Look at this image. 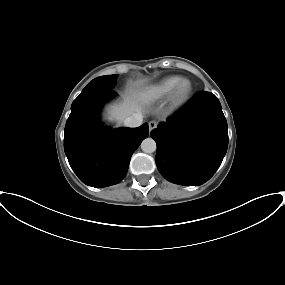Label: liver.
Masks as SVG:
<instances>
[{"label": "liver", "instance_id": "obj_1", "mask_svg": "<svg viewBox=\"0 0 285 285\" xmlns=\"http://www.w3.org/2000/svg\"><path fill=\"white\" fill-rule=\"evenodd\" d=\"M142 97L144 94L141 95ZM108 119L123 121L125 118L132 116L135 113H140L141 108L136 98H125L122 103L114 104L108 107Z\"/></svg>", "mask_w": 285, "mask_h": 285}]
</instances>
